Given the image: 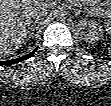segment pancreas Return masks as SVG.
<instances>
[{
    "label": "pancreas",
    "mask_w": 111,
    "mask_h": 106,
    "mask_svg": "<svg viewBox=\"0 0 111 106\" xmlns=\"http://www.w3.org/2000/svg\"><path fill=\"white\" fill-rule=\"evenodd\" d=\"M80 5L91 16L111 20V1L81 0Z\"/></svg>",
    "instance_id": "1"
}]
</instances>
